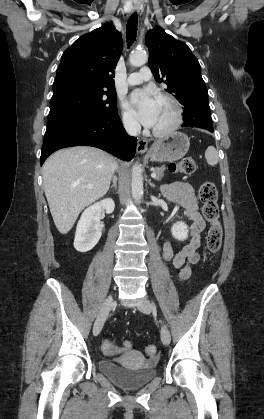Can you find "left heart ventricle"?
Here are the masks:
<instances>
[{"label": "left heart ventricle", "instance_id": "obj_1", "mask_svg": "<svg viewBox=\"0 0 264 419\" xmlns=\"http://www.w3.org/2000/svg\"><path fill=\"white\" fill-rule=\"evenodd\" d=\"M173 119V109L171 105L161 99H158V115L155 125V129H162L168 126Z\"/></svg>", "mask_w": 264, "mask_h": 419}]
</instances>
